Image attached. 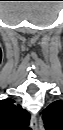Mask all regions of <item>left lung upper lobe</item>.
<instances>
[{
    "instance_id": "1",
    "label": "left lung upper lobe",
    "mask_w": 63,
    "mask_h": 130,
    "mask_svg": "<svg viewBox=\"0 0 63 130\" xmlns=\"http://www.w3.org/2000/svg\"><path fill=\"white\" fill-rule=\"evenodd\" d=\"M42 119L46 130H63V101L58 100L43 110Z\"/></svg>"
}]
</instances>
